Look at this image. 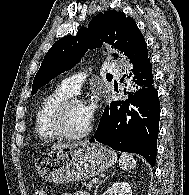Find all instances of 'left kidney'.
Segmentation results:
<instances>
[{"label":"left kidney","instance_id":"obj_1","mask_svg":"<svg viewBox=\"0 0 189 195\" xmlns=\"http://www.w3.org/2000/svg\"><path fill=\"white\" fill-rule=\"evenodd\" d=\"M104 195H132L131 186L128 182H116Z\"/></svg>","mask_w":189,"mask_h":195}]
</instances>
